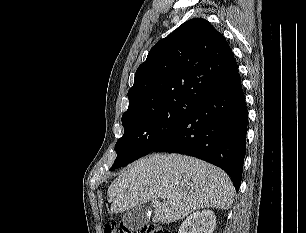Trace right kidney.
I'll use <instances>...</instances> for the list:
<instances>
[{
	"label": "right kidney",
	"mask_w": 306,
	"mask_h": 233,
	"mask_svg": "<svg viewBox=\"0 0 306 233\" xmlns=\"http://www.w3.org/2000/svg\"><path fill=\"white\" fill-rule=\"evenodd\" d=\"M216 216L211 210L197 211L187 217L181 224L178 233H213Z\"/></svg>",
	"instance_id": "obj_1"
}]
</instances>
